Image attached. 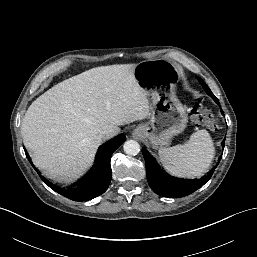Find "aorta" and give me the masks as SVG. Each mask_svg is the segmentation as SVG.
<instances>
[{
  "label": "aorta",
  "instance_id": "aorta-1",
  "mask_svg": "<svg viewBox=\"0 0 257 257\" xmlns=\"http://www.w3.org/2000/svg\"><path fill=\"white\" fill-rule=\"evenodd\" d=\"M123 149L127 155H137L140 151V145L135 140H128L124 143Z\"/></svg>",
  "mask_w": 257,
  "mask_h": 257
}]
</instances>
